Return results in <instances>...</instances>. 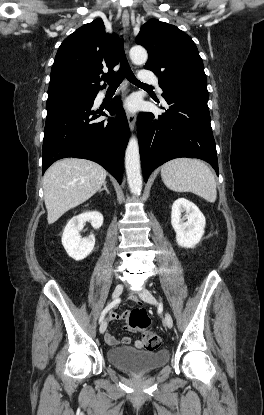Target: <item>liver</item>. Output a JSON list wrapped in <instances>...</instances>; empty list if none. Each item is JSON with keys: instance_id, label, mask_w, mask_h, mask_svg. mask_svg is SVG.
I'll return each instance as SVG.
<instances>
[{"instance_id": "1", "label": "liver", "mask_w": 264, "mask_h": 415, "mask_svg": "<svg viewBox=\"0 0 264 415\" xmlns=\"http://www.w3.org/2000/svg\"><path fill=\"white\" fill-rule=\"evenodd\" d=\"M106 175L102 166L86 159L65 158L50 166L43 178L48 224L91 198Z\"/></svg>"}]
</instances>
